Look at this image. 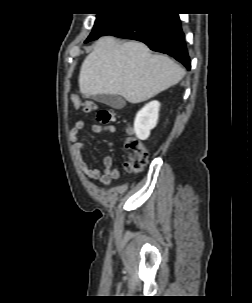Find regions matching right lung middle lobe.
<instances>
[{
  "label": "right lung middle lobe",
  "mask_w": 252,
  "mask_h": 303,
  "mask_svg": "<svg viewBox=\"0 0 252 303\" xmlns=\"http://www.w3.org/2000/svg\"><path fill=\"white\" fill-rule=\"evenodd\" d=\"M120 15L121 13L97 15L93 30L85 42L95 40L102 36Z\"/></svg>",
  "instance_id": "dd1d6c3e"
}]
</instances>
